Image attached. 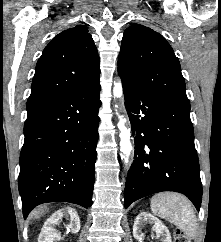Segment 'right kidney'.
I'll list each match as a JSON object with an SVG mask.
<instances>
[{
	"instance_id": "right-kidney-1",
	"label": "right kidney",
	"mask_w": 221,
	"mask_h": 242,
	"mask_svg": "<svg viewBox=\"0 0 221 242\" xmlns=\"http://www.w3.org/2000/svg\"><path fill=\"white\" fill-rule=\"evenodd\" d=\"M69 220L66 226L67 233H77L80 230V219L77 211L72 207H65L56 211L50 218L46 220L39 234L38 242H56L61 239V234L56 229V226L63 217Z\"/></svg>"
}]
</instances>
